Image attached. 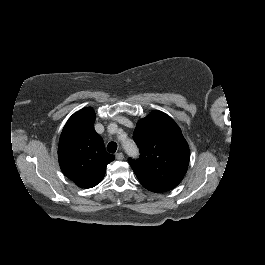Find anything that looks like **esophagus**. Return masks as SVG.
I'll list each match as a JSON object with an SVG mask.
<instances>
[{"label": "esophagus", "mask_w": 265, "mask_h": 265, "mask_svg": "<svg viewBox=\"0 0 265 265\" xmlns=\"http://www.w3.org/2000/svg\"><path fill=\"white\" fill-rule=\"evenodd\" d=\"M115 157L117 160L121 161L124 158V154L122 152H119L115 155Z\"/></svg>", "instance_id": "1"}]
</instances>
